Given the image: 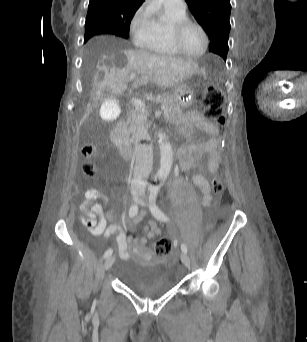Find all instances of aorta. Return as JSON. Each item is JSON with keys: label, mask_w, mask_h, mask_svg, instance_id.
Returning <instances> with one entry per match:
<instances>
[{"label": "aorta", "mask_w": 307, "mask_h": 342, "mask_svg": "<svg viewBox=\"0 0 307 342\" xmlns=\"http://www.w3.org/2000/svg\"><path fill=\"white\" fill-rule=\"evenodd\" d=\"M158 146L160 150V166L157 172L158 178L169 176L173 164V150L165 134H158Z\"/></svg>", "instance_id": "762f6f07"}]
</instances>
